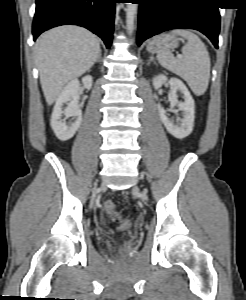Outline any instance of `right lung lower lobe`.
Segmentation results:
<instances>
[{
  "label": "right lung lower lobe",
  "instance_id": "obj_1",
  "mask_svg": "<svg viewBox=\"0 0 246 300\" xmlns=\"http://www.w3.org/2000/svg\"><path fill=\"white\" fill-rule=\"evenodd\" d=\"M117 0H36L33 39L44 31L65 24L83 26L112 43Z\"/></svg>",
  "mask_w": 246,
  "mask_h": 300
}]
</instances>
